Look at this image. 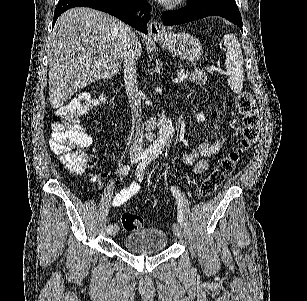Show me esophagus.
Instances as JSON below:
<instances>
[{
  "instance_id": "34e87169",
  "label": "esophagus",
  "mask_w": 307,
  "mask_h": 301,
  "mask_svg": "<svg viewBox=\"0 0 307 301\" xmlns=\"http://www.w3.org/2000/svg\"><path fill=\"white\" fill-rule=\"evenodd\" d=\"M148 30L149 35L151 36V38H153V40H159L163 38V35L165 33V30L161 26V23L156 20L150 22Z\"/></svg>"
}]
</instances>
